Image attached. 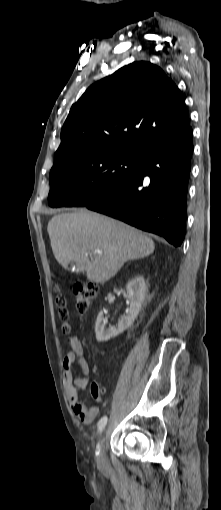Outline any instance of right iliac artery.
<instances>
[{"label":"right iliac artery","mask_w":221,"mask_h":510,"mask_svg":"<svg viewBox=\"0 0 221 510\" xmlns=\"http://www.w3.org/2000/svg\"><path fill=\"white\" fill-rule=\"evenodd\" d=\"M106 423H107V417L106 416L102 417L99 420V422H98V431L99 432H102V430L104 429ZM96 454H98V452H96Z\"/></svg>","instance_id":"1"}]
</instances>
